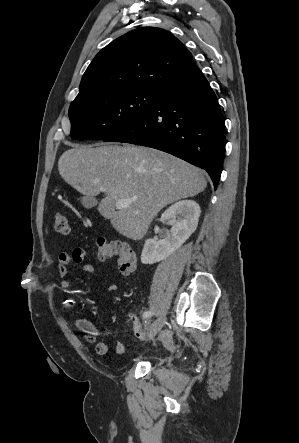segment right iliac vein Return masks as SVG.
Returning a JSON list of instances; mask_svg holds the SVG:
<instances>
[{
  "mask_svg": "<svg viewBox=\"0 0 299 443\" xmlns=\"http://www.w3.org/2000/svg\"><path fill=\"white\" fill-rule=\"evenodd\" d=\"M166 321L165 316H161L158 319H156L154 322L150 323V320H146L145 323L149 325V333H148V339L152 340L157 333L161 330V328L164 326Z\"/></svg>",
  "mask_w": 299,
  "mask_h": 443,
  "instance_id": "right-iliac-vein-1",
  "label": "right iliac vein"
}]
</instances>
